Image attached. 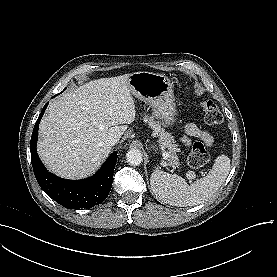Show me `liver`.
Here are the masks:
<instances>
[{
  "label": "liver",
  "mask_w": 277,
  "mask_h": 277,
  "mask_svg": "<svg viewBox=\"0 0 277 277\" xmlns=\"http://www.w3.org/2000/svg\"><path fill=\"white\" fill-rule=\"evenodd\" d=\"M131 74L90 81L50 103L39 125L37 152L47 169L68 179L94 173L111 152L108 136L119 139L136 110Z\"/></svg>",
  "instance_id": "liver-1"
}]
</instances>
